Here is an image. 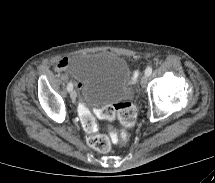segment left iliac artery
<instances>
[{
	"label": "left iliac artery",
	"instance_id": "obj_1",
	"mask_svg": "<svg viewBox=\"0 0 215 183\" xmlns=\"http://www.w3.org/2000/svg\"><path fill=\"white\" fill-rule=\"evenodd\" d=\"M152 73V67H147L145 70V74L150 75Z\"/></svg>",
	"mask_w": 215,
	"mask_h": 183
}]
</instances>
